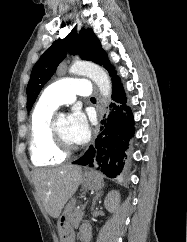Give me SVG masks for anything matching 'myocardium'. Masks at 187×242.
Returning <instances> with one entry per match:
<instances>
[{
	"instance_id": "myocardium-1",
	"label": "myocardium",
	"mask_w": 187,
	"mask_h": 242,
	"mask_svg": "<svg viewBox=\"0 0 187 242\" xmlns=\"http://www.w3.org/2000/svg\"><path fill=\"white\" fill-rule=\"evenodd\" d=\"M56 118H52L51 123H50V139L51 143L53 145V148L61 155L63 156H69L73 154L77 148L72 146V147H67L63 144L61 141L57 130H56Z\"/></svg>"
}]
</instances>
